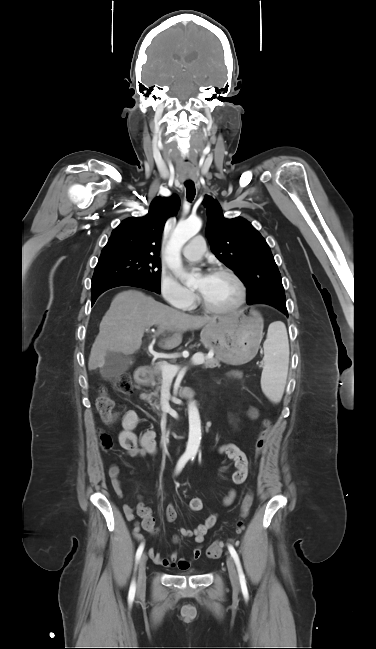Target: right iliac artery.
Here are the masks:
<instances>
[{
	"mask_svg": "<svg viewBox=\"0 0 376 649\" xmlns=\"http://www.w3.org/2000/svg\"><path fill=\"white\" fill-rule=\"evenodd\" d=\"M188 460H189V456H188V455H183V456L179 459V461H178V463H177V466H176V473H179V472L182 470V468L185 466V464L187 463ZM143 549H144V544H141V545L138 547L137 552H136V563H138V561L140 560V557H141V555H142ZM135 591H136V584H135V580L133 579V581H132V583H131V586H130V590H129V597H130V598H133V597H134V595H135Z\"/></svg>",
	"mask_w": 376,
	"mask_h": 649,
	"instance_id": "obj_1",
	"label": "right iliac artery"
}]
</instances>
